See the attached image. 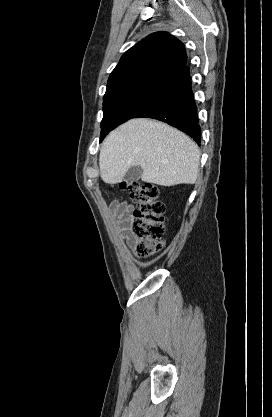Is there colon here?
Listing matches in <instances>:
<instances>
[{
  "label": "colon",
  "mask_w": 272,
  "mask_h": 417,
  "mask_svg": "<svg viewBox=\"0 0 272 417\" xmlns=\"http://www.w3.org/2000/svg\"><path fill=\"white\" fill-rule=\"evenodd\" d=\"M128 188L136 207L132 213L130 229L136 239L139 254L151 256L163 245L165 234V204L159 200V189L147 182L123 183Z\"/></svg>",
  "instance_id": "obj_1"
}]
</instances>
